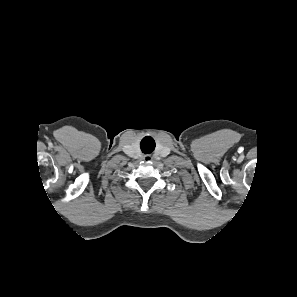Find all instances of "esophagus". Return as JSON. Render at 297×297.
I'll return each instance as SVG.
<instances>
[{"label":"esophagus","mask_w":297,"mask_h":297,"mask_svg":"<svg viewBox=\"0 0 297 297\" xmlns=\"http://www.w3.org/2000/svg\"><path fill=\"white\" fill-rule=\"evenodd\" d=\"M144 160L150 161V160H152V158H151V156L147 155V156H145Z\"/></svg>","instance_id":"34e87169"}]
</instances>
